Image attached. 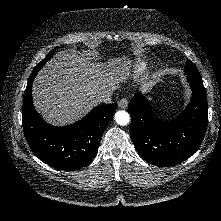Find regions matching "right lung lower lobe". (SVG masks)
I'll list each match as a JSON object with an SVG mask.
<instances>
[{
    "instance_id": "98d812e1",
    "label": "right lung lower lobe",
    "mask_w": 221,
    "mask_h": 221,
    "mask_svg": "<svg viewBox=\"0 0 221 221\" xmlns=\"http://www.w3.org/2000/svg\"><path fill=\"white\" fill-rule=\"evenodd\" d=\"M36 75L31 74L24 92L22 120L26 140L42 162L61 170H78L97 154L99 142L117 104L97 107L69 126L49 125L33 106L31 93Z\"/></svg>"
}]
</instances>
